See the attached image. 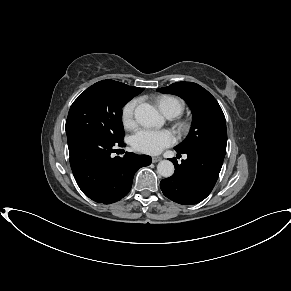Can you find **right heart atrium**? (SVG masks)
<instances>
[{
	"label": "right heart atrium",
	"instance_id": "obj_1",
	"mask_svg": "<svg viewBox=\"0 0 291 291\" xmlns=\"http://www.w3.org/2000/svg\"><path fill=\"white\" fill-rule=\"evenodd\" d=\"M138 101L133 99L122 108L121 120L125 128L132 129L135 126V109Z\"/></svg>",
	"mask_w": 291,
	"mask_h": 291
}]
</instances>
